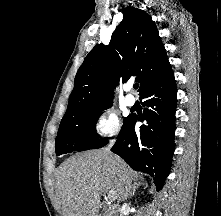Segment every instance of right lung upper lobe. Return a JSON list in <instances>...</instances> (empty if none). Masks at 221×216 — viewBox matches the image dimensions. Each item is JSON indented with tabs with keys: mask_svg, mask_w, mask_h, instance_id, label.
Instances as JSON below:
<instances>
[{
	"mask_svg": "<svg viewBox=\"0 0 221 216\" xmlns=\"http://www.w3.org/2000/svg\"><path fill=\"white\" fill-rule=\"evenodd\" d=\"M123 14L109 45H96L80 66L63 118L112 104L120 77L127 82L136 76L141 94L171 70L151 17L134 7L125 8Z\"/></svg>",
	"mask_w": 221,
	"mask_h": 216,
	"instance_id": "right-lung-upper-lobe-1",
	"label": "right lung upper lobe"
}]
</instances>
